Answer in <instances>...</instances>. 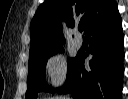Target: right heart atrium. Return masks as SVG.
<instances>
[{
  "label": "right heart atrium",
  "instance_id": "1",
  "mask_svg": "<svg viewBox=\"0 0 128 99\" xmlns=\"http://www.w3.org/2000/svg\"><path fill=\"white\" fill-rule=\"evenodd\" d=\"M46 71L54 87L63 85L68 77V63L61 53L52 55L46 62Z\"/></svg>",
  "mask_w": 128,
  "mask_h": 99
}]
</instances>
